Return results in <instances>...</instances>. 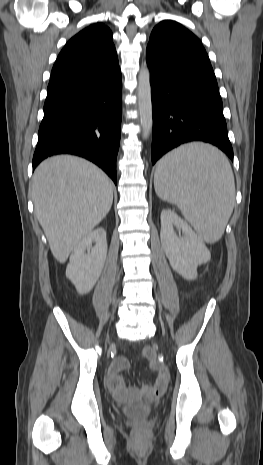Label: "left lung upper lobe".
Instances as JSON below:
<instances>
[{"instance_id": "obj_1", "label": "left lung upper lobe", "mask_w": 263, "mask_h": 465, "mask_svg": "<svg viewBox=\"0 0 263 465\" xmlns=\"http://www.w3.org/2000/svg\"><path fill=\"white\" fill-rule=\"evenodd\" d=\"M147 49L173 59L210 64L200 40L188 29L171 20H164L153 29Z\"/></svg>"}]
</instances>
